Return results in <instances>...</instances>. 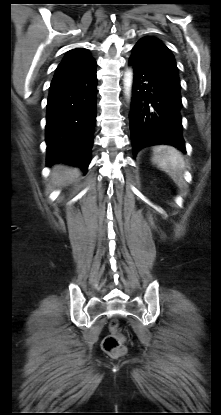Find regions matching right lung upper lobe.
<instances>
[{
  "label": "right lung upper lobe",
  "mask_w": 221,
  "mask_h": 415,
  "mask_svg": "<svg viewBox=\"0 0 221 415\" xmlns=\"http://www.w3.org/2000/svg\"><path fill=\"white\" fill-rule=\"evenodd\" d=\"M93 65H96V61L88 51L83 48H76L65 55L55 73L73 71Z\"/></svg>",
  "instance_id": "1"
}]
</instances>
